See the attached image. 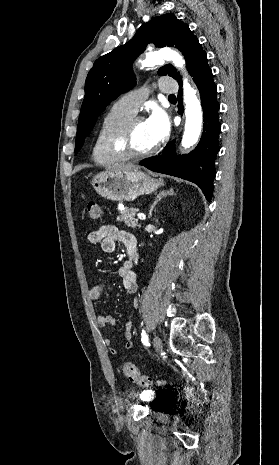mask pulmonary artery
Here are the masks:
<instances>
[{
    "instance_id": "e3ab8cb5",
    "label": "pulmonary artery",
    "mask_w": 279,
    "mask_h": 465,
    "mask_svg": "<svg viewBox=\"0 0 279 465\" xmlns=\"http://www.w3.org/2000/svg\"><path fill=\"white\" fill-rule=\"evenodd\" d=\"M158 89L162 93L173 94L177 91V86L170 79L162 78L159 80ZM147 95H148V89L146 88L137 89V90L131 91L123 95L117 101V103L124 109L135 114L138 111V108L140 107V105L147 98Z\"/></svg>"
}]
</instances>
